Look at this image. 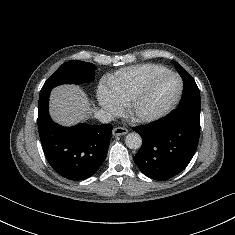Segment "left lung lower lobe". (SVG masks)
Masks as SVG:
<instances>
[{"label":"left lung lower lobe","instance_id":"left-lung-lower-lobe-1","mask_svg":"<svg viewBox=\"0 0 235 235\" xmlns=\"http://www.w3.org/2000/svg\"><path fill=\"white\" fill-rule=\"evenodd\" d=\"M200 109L186 104L161 120L133 128L143 140L134 157L143 174L164 181L186 168L199 141Z\"/></svg>","mask_w":235,"mask_h":235}]
</instances>
